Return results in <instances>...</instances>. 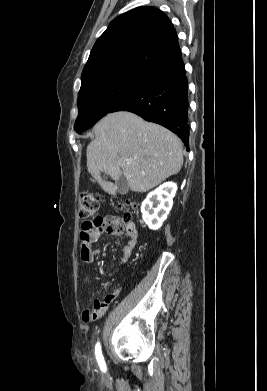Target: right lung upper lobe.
I'll return each mask as SVG.
<instances>
[{
    "mask_svg": "<svg viewBox=\"0 0 267 391\" xmlns=\"http://www.w3.org/2000/svg\"><path fill=\"white\" fill-rule=\"evenodd\" d=\"M179 57L178 37L169 18L157 8L138 7L115 18L99 37L81 82L118 71L149 74Z\"/></svg>",
    "mask_w": 267,
    "mask_h": 391,
    "instance_id": "1",
    "label": "right lung upper lobe"
}]
</instances>
